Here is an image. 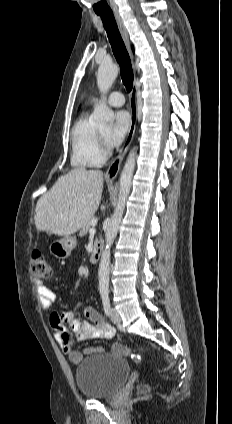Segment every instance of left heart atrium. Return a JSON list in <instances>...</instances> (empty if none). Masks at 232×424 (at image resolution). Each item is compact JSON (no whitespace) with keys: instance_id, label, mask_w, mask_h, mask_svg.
Wrapping results in <instances>:
<instances>
[{"instance_id":"left-heart-atrium-1","label":"left heart atrium","mask_w":232,"mask_h":424,"mask_svg":"<svg viewBox=\"0 0 232 424\" xmlns=\"http://www.w3.org/2000/svg\"><path fill=\"white\" fill-rule=\"evenodd\" d=\"M131 128V117L127 111H118L115 115L113 129L108 137L111 145L117 146L123 142Z\"/></svg>"}]
</instances>
